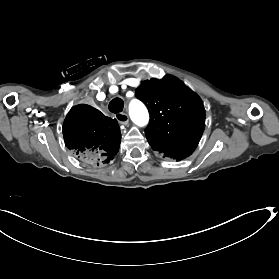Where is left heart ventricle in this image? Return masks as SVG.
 <instances>
[{"label": "left heart ventricle", "mask_w": 279, "mask_h": 279, "mask_svg": "<svg viewBox=\"0 0 279 279\" xmlns=\"http://www.w3.org/2000/svg\"><path fill=\"white\" fill-rule=\"evenodd\" d=\"M96 84H97L98 86H100V85H101V80H98V81L96 82ZM99 97L102 98L103 95H102V94H99ZM88 100H89V99H88Z\"/></svg>", "instance_id": "b2bd125f"}]
</instances>
